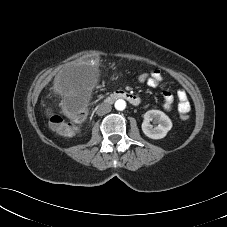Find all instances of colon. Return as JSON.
I'll return each instance as SVG.
<instances>
[{
    "label": "colon",
    "instance_id": "5ec220e1",
    "mask_svg": "<svg viewBox=\"0 0 227 227\" xmlns=\"http://www.w3.org/2000/svg\"><path fill=\"white\" fill-rule=\"evenodd\" d=\"M151 74L139 73L136 79L141 84H147L150 80ZM66 114L71 121H66L61 116L56 114L49 115V123L51 128L62 136H72L76 133V127L74 123H81L86 117V110L82 106L71 104L66 108ZM183 120L188 119L187 113H180Z\"/></svg>",
    "mask_w": 227,
    "mask_h": 227
}]
</instances>
